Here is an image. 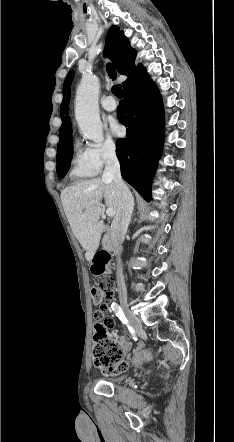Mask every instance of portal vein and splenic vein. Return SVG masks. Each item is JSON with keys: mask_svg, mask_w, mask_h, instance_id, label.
I'll return each instance as SVG.
<instances>
[{"mask_svg": "<svg viewBox=\"0 0 234 442\" xmlns=\"http://www.w3.org/2000/svg\"><path fill=\"white\" fill-rule=\"evenodd\" d=\"M106 214H107V216H109V217H113V216H115L116 212H115V210L112 209V208H107V210H106Z\"/></svg>", "mask_w": 234, "mask_h": 442, "instance_id": "1", "label": "portal vein and splenic vein"}]
</instances>
